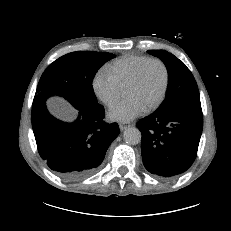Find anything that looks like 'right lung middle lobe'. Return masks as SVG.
Returning <instances> with one entry per match:
<instances>
[{
	"label": "right lung middle lobe",
	"mask_w": 231,
	"mask_h": 231,
	"mask_svg": "<svg viewBox=\"0 0 231 231\" xmlns=\"http://www.w3.org/2000/svg\"><path fill=\"white\" fill-rule=\"evenodd\" d=\"M114 58L111 53L77 51L61 56L42 74L34 99L62 96L74 107L97 104L92 81L100 67Z\"/></svg>",
	"instance_id": "1"
}]
</instances>
